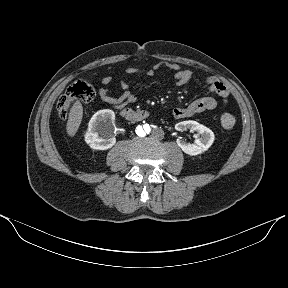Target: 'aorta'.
<instances>
[{
    "label": "aorta",
    "instance_id": "762f6f07",
    "mask_svg": "<svg viewBox=\"0 0 288 288\" xmlns=\"http://www.w3.org/2000/svg\"><path fill=\"white\" fill-rule=\"evenodd\" d=\"M150 131H151V126L147 122H142V123L138 124L136 127V132L140 136H145V135L149 134Z\"/></svg>",
    "mask_w": 288,
    "mask_h": 288
}]
</instances>
